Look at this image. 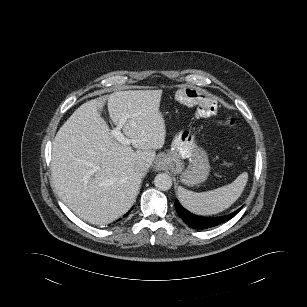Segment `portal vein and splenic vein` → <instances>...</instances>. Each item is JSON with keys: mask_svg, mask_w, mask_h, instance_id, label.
I'll list each match as a JSON object with an SVG mask.
<instances>
[{"mask_svg": "<svg viewBox=\"0 0 307 307\" xmlns=\"http://www.w3.org/2000/svg\"><path fill=\"white\" fill-rule=\"evenodd\" d=\"M122 124L120 123L116 128L111 130V135L116 138L117 141L124 145H129L131 143V140L124 136V134L121 132Z\"/></svg>", "mask_w": 307, "mask_h": 307, "instance_id": "obj_1", "label": "portal vein and splenic vein"}]
</instances>
